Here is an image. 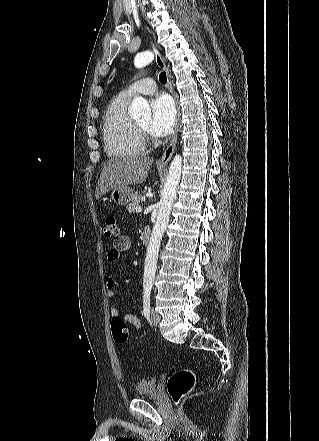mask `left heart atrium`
I'll return each mask as SVG.
<instances>
[{"label": "left heart atrium", "mask_w": 319, "mask_h": 441, "mask_svg": "<svg viewBox=\"0 0 319 441\" xmlns=\"http://www.w3.org/2000/svg\"><path fill=\"white\" fill-rule=\"evenodd\" d=\"M152 117L149 131L155 137H165L171 133L175 121V107L171 98L159 94L151 100Z\"/></svg>", "instance_id": "39dd6f15"}]
</instances>
